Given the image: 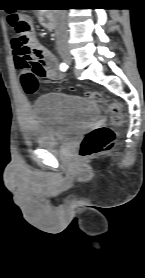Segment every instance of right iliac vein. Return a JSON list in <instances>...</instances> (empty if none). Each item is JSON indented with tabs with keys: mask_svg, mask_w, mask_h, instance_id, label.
<instances>
[{
	"mask_svg": "<svg viewBox=\"0 0 145 278\" xmlns=\"http://www.w3.org/2000/svg\"><path fill=\"white\" fill-rule=\"evenodd\" d=\"M59 52L66 63L71 61V57L67 49H60Z\"/></svg>",
	"mask_w": 145,
	"mask_h": 278,
	"instance_id": "1",
	"label": "right iliac vein"
}]
</instances>
